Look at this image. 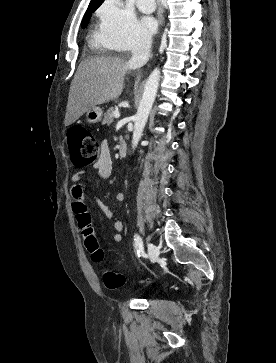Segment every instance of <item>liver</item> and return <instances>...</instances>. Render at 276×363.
<instances>
[{
	"label": "liver",
	"mask_w": 276,
	"mask_h": 363,
	"mask_svg": "<svg viewBox=\"0 0 276 363\" xmlns=\"http://www.w3.org/2000/svg\"><path fill=\"white\" fill-rule=\"evenodd\" d=\"M135 69L123 57H89L71 82L64 125L69 126L96 105L117 99L128 71Z\"/></svg>",
	"instance_id": "obj_1"
}]
</instances>
